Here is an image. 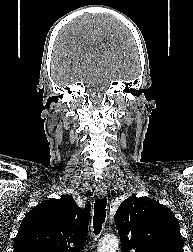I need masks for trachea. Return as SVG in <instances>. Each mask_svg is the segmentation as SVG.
Wrapping results in <instances>:
<instances>
[{
  "instance_id": "1",
  "label": "trachea",
  "mask_w": 193,
  "mask_h": 252,
  "mask_svg": "<svg viewBox=\"0 0 193 252\" xmlns=\"http://www.w3.org/2000/svg\"><path fill=\"white\" fill-rule=\"evenodd\" d=\"M106 197L100 198L94 204L93 228L94 234L98 235L106 218Z\"/></svg>"
}]
</instances>
